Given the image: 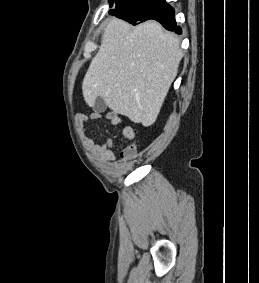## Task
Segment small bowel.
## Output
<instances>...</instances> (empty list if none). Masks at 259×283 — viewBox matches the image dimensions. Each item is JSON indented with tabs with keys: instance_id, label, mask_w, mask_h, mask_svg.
Returning a JSON list of instances; mask_svg holds the SVG:
<instances>
[{
	"instance_id": "c3829d8e",
	"label": "small bowel",
	"mask_w": 259,
	"mask_h": 283,
	"mask_svg": "<svg viewBox=\"0 0 259 283\" xmlns=\"http://www.w3.org/2000/svg\"><path fill=\"white\" fill-rule=\"evenodd\" d=\"M101 119V114L99 112H92L88 116H81L80 120L84 122H94ZM105 119L113 126L122 127V133L125 138L132 140L135 138V130L126 124L124 120L114 112H109L105 115ZM92 148L99 152L106 162H113L115 160V155L113 152V140L108 139L104 143L97 144L91 142ZM124 157V156H123ZM125 167L123 165L118 166V170L122 171Z\"/></svg>"
}]
</instances>
